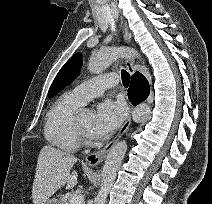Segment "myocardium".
Listing matches in <instances>:
<instances>
[{
    "instance_id": "1",
    "label": "myocardium",
    "mask_w": 212,
    "mask_h": 204,
    "mask_svg": "<svg viewBox=\"0 0 212 204\" xmlns=\"http://www.w3.org/2000/svg\"><path fill=\"white\" fill-rule=\"evenodd\" d=\"M75 127L81 140L87 141L91 138L90 133L81 126L78 118L75 119Z\"/></svg>"
}]
</instances>
